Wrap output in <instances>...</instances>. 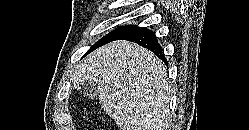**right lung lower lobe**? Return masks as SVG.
I'll list each match as a JSON object with an SVG mask.
<instances>
[{"label":"right lung lower lobe","mask_w":249,"mask_h":130,"mask_svg":"<svg viewBox=\"0 0 249 130\" xmlns=\"http://www.w3.org/2000/svg\"><path fill=\"white\" fill-rule=\"evenodd\" d=\"M114 40H128L139 44L149 50L167 63L166 58L162 52V48L158 43L153 31L146 28H137L127 34H124ZM111 42V41H110ZM89 52H87L88 54Z\"/></svg>","instance_id":"obj_1"}]
</instances>
